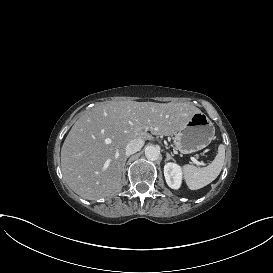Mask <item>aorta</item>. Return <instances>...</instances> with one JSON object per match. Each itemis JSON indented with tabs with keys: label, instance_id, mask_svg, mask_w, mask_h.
<instances>
[{
	"label": "aorta",
	"instance_id": "obj_1",
	"mask_svg": "<svg viewBox=\"0 0 273 273\" xmlns=\"http://www.w3.org/2000/svg\"><path fill=\"white\" fill-rule=\"evenodd\" d=\"M145 156L148 160L155 161L160 156V149L154 145H149L145 148Z\"/></svg>",
	"mask_w": 273,
	"mask_h": 273
}]
</instances>
